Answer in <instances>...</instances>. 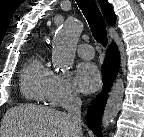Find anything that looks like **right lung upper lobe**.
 Returning a JSON list of instances; mask_svg holds the SVG:
<instances>
[{
    "label": "right lung upper lobe",
    "mask_w": 144,
    "mask_h": 137,
    "mask_svg": "<svg viewBox=\"0 0 144 137\" xmlns=\"http://www.w3.org/2000/svg\"><path fill=\"white\" fill-rule=\"evenodd\" d=\"M102 12L106 21L110 25H114L116 22V16L113 12V8L107 0H99Z\"/></svg>",
    "instance_id": "obj_1"
}]
</instances>
